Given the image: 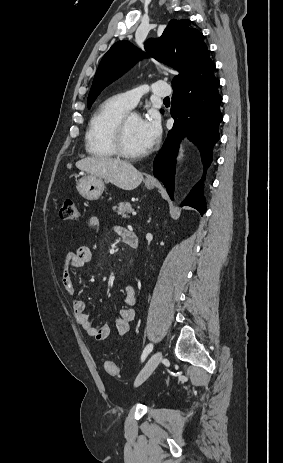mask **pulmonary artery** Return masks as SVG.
<instances>
[{"mask_svg":"<svg viewBox=\"0 0 283 463\" xmlns=\"http://www.w3.org/2000/svg\"><path fill=\"white\" fill-rule=\"evenodd\" d=\"M150 91L154 96L166 98L171 94V89L166 82L157 81L152 83L149 87L141 86L132 90L123 92L118 95L122 104L128 109H132L136 106L138 101L144 96V94Z\"/></svg>","mask_w":283,"mask_h":463,"instance_id":"obj_1","label":"pulmonary artery"}]
</instances>
